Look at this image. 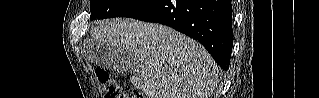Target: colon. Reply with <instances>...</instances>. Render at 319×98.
Masks as SVG:
<instances>
[{"mask_svg": "<svg viewBox=\"0 0 319 98\" xmlns=\"http://www.w3.org/2000/svg\"><path fill=\"white\" fill-rule=\"evenodd\" d=\"M98 81L103 88L104 98H128L123 92L117 80L113 78L106 70L98 68L95 71ZM132 98H143L142 93L135 92Z\"/></svg>", "mask_w": 319, "mask_h": 98, "instance_id": "obj_1", "label": "colon"}]
</instances>
